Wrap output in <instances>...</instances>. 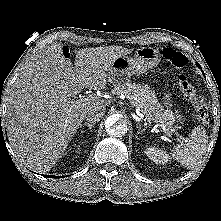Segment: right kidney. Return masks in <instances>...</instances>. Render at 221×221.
<instances>
[{
	"instance_id": "ca27d5eb",
	"label": "right kidney",
	"mask_w": 221,
	"mask_h": 221,
	"mask_svg": "<svg viewBox=\"0 0 221 221\" xmlns=\"http://www.w3.org/2000/svg\"><path fill=\"white\" fill-rule=\"evenodd\" d=\"M75 147H77L79 149V145L76 146V144H75Z\"/></svg>"
}]
</instances>
